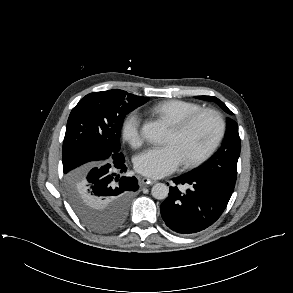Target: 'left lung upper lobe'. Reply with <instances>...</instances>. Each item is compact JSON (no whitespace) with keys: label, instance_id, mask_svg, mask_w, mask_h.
Segmentation results:
<instances>
[{"label":"left lung upper lobe","instance_id":"1","mask_svg":"<svg viewBox=\"0 0 293 293\" xmlns=\"http://www.w3.org/2000/svg\"><path fill=\"white\" fill-rule=\"evenodd\" d=\"M198 98L214 101L227 113L233 114L227 106L216 97L198 96ZM239 155L240 137L238 125L232 119L227 118V129L221 148L204 165L192 172L203 176L217 177L235 185Z\"/></svg>","mask_w":293,"mask_h":293}]
</instances>
